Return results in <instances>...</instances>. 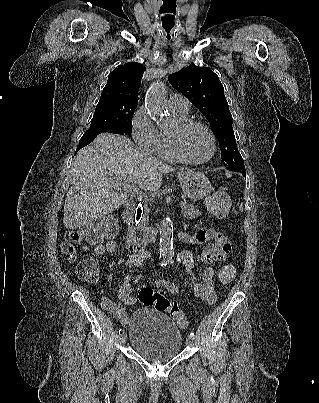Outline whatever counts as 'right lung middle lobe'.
Listing matches in <instances>:
<instances>
[{
	"instance_id": "1",
	"label": "right lung middle lobe",
	"mask_w": 319,
	"mask_h": 403,
	"mask_svg": "<svg viewBox=\"0 0 319 403\" xmlns=\"http://www.w3.org/2000/svg\"><path fill=\"white\" fill-rule=\"evenodd\" d=\"M136 107L122 103H98L90 123V129L121 128L131 134V119Z\"/></svg>"
}]
</instances>
